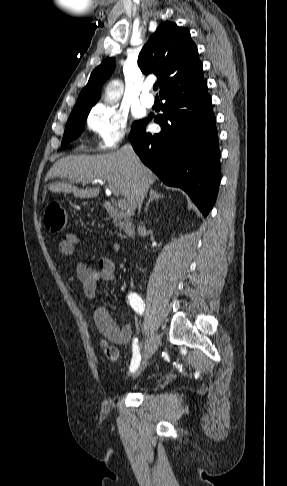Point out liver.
I'll return each mask as SVG.
<instances>
[{"mask_svg": "<svg viewBox=\"0 0 287 486\" xmlns=\"http://www.w3.org/2000/svg\"><path fill=\"white\" fill-rule=\"evenodd\" d=\"M142 166L149 183L153 184L156 177L148 168ZM54 178H68L84 185L108 183L127 199L132 210H135L138 206L137 191L140 174L131 157L122 150L110 154L77 155L62 158L50 169L46 180ZM48 188L55 193H72L78 198H94L100 192L99 186L80 189L65 182L52 183Z\"/></svg>", "mask_w": 287, "mask_h": 486, "instance_id": "liver-1", "label": "liver"}]
</instances>
